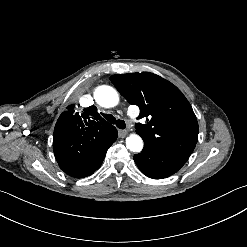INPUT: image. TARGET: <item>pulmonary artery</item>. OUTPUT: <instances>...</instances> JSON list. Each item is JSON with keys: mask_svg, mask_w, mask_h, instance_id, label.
Masks as SVG:
<instances>
[{"mask_svg": "<svg viewBox=\"0 0 247 247\" xmlns=\"http://www.w3.org/2000/svg\"><path fill=\"white\" fill-rule=\"evenodd\" d=\"M131 123L134 125H140V120H138L136 118H131Z\"/></svg>", "mask_w": 247, "mask_h": 247, "instance_id": "1", "label": "pulmonary artery"}]
</instances>
